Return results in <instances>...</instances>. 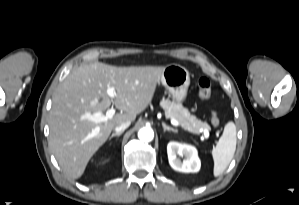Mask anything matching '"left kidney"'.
Returning a JSON list of instances; mask_svg holds the SVG:
<instances>
[{"mask_svg":"<svg viewBox=\"0 0 299 205\" xmlns=\"http://www.w3.org/2000/svg\"><path fill=\"white\" fill-rule=\"evenodd\" d=\"M167 153L169 164L174 170L184 173L200 170L201 163L195 147L172 141L167 145ZM177 156L185 159L181 161Z\"/></svg>","mask_w":299,"mask_h":205,"instance_id":"1","label":"left kidney"}]
</instances>
